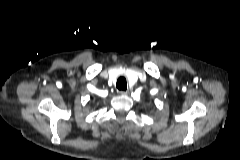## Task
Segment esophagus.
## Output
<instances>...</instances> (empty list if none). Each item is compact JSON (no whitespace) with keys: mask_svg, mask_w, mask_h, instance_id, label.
I'll list each match as a JSON object with an SVG mask.
<instances>
[{"mask_svg":"<svg viewBox=\"0 0 240 160\" xmlns=\"http://www.w3.org/2000/svg\"><path fill=\"white\" fill-rule=\"evenodd\" d=\"M122 95H129V91H121L120 92Z\"/></svg>","mask_w":240,"mask_h":160,"instance_id":"esophagus-1","label":"esophagus"}]
</instances>
